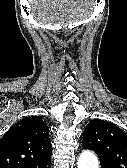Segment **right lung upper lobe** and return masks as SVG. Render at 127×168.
Instances as JSON below:
<instances>
[{
	"label": "right lung upper lobe",
	"instance_id": "1",
	"mask_svg": "<svg viewBox=\"0 0 127 168\" xmlns=\"http://www.w3.org/2000/svg\"><path fill=\"white\" fill-rule=\"evenodd\" d=\"M50 163L49 128L40 117L18 121L0 138V168H43Z\"/></svg>",
	"mask_w": 127,
	"mask_h": 168
}]
</instances>
